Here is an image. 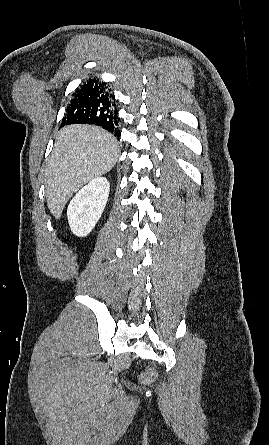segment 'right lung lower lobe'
<instances>
[{
    "label": "right lung lower lobe",
    "instance_id": "right-lung-lower-lobe-1",
    "mask_svg": "<svg viewBox=\"0 0 269 445\" xmlns=\"http://www.w3.org/2000/svg\"><path fill=\"white\" fill-rule=\"evenodd\" d=\"M118 110L111 89L96 78H89L73 93L62 126L92 124L100 126L119 138Z\"/></svg>",
    "mask_w": 269,
    "mask_h": 445
}]
</instances>
